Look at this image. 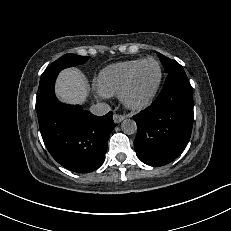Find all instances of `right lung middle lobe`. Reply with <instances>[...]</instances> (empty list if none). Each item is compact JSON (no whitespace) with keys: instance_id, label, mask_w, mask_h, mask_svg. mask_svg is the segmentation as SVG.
<instances>
[{"instance_id":"dd1d6c3e","label":"right lung middle lobe","mask_w":231,"mask_h":231,"mask_svg":"<svg viewBox=\"0 0 231 231\" xmlns=\"http://www.w3.org/2000/svg\"><path fill=\"white\" fill-rule=\"evenodd\" d=\"M88 58V56H78L73 53L65 54L64 56L53 62L51 66L45 70V72L41 76V80L51 76L52 74L59 73L64 68L83 64L88 60Z\"/></svg>"}]
</instances>
